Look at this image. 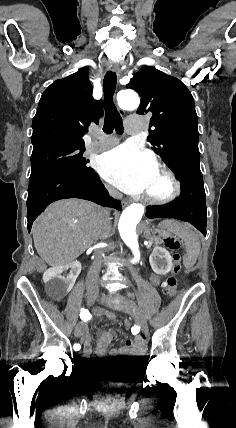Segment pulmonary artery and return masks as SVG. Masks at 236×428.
Here are the masks:
<instances>
[{
    "label": "pulmonary artery",
    "instance_id": "obj_1",
    "mask_svg": "<svg viewBox=\"0 0 236 428\" xmlns=\"http://www.w3.org/2000/svg\"><path fill=\"white\" fill-rule=\"evenodd\" d=\"M117 142H118L117 138H115L111 142H107V143L94 140V141H92L91 143L88 144L87 150L89 152H91V153L103 152V151L111 148Z\"/></svg>",
    "mask_w": 236,
    "mask_h": 428
}]
</instances>
